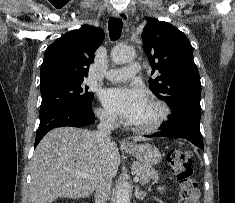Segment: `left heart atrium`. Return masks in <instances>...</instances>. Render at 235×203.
<instances>
[{
  "instance_id": "1",
  "label": "left heart atrium",
  "mask_w": 235,
  "mask_h": 203,
  "mask_svg": "<svg viewBox=\"0 0 235 203\" xmlns=\"http://www.w3.org/2000/svg\"><path fill=\"white\" fill-rule=\"evenodd\" d=\"M101 100L110 113L132 123L147 103L145 93L136 86L106 89L101 95Z\"/></svg>"
}]
</instances>
